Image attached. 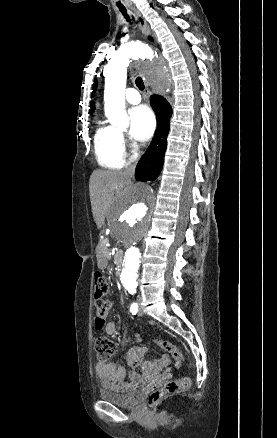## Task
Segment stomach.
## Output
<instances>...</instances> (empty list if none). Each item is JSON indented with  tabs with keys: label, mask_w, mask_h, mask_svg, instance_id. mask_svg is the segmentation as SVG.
<instances>
[{
	"label": "stomach",
	"mask_w": 277,
	"mask_h": 438,
	"mask_svg": "<svg viewBox=\"0 0 277 438\" xmlns=\"http://www.w3.org/2000/svg\"><path fill=\"white\" fill-rule=\"evenodd\" d=\"M106 265H107V259L105 258V256L101 252H99L98 253V266L100 268H105Z\"/></svg>",
	"instance_id": "stomach-1"
}]
</instances>
